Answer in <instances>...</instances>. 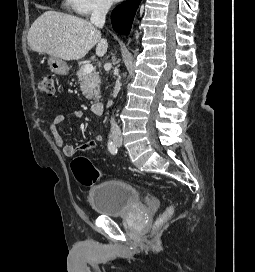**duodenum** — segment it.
Masks as SVG:
<instances>
[{
  "label": "duodenum",
  "instance_id": "1",
  "mask_svg": "<svg viewBox=\"0 0 255 272\" xmlns=\"http://www.w3.org/2000/svg\"><path fill=\"white\" fill-rule=\"evenodd\" d=\"M104 103L102 100H95L91 106V110L94 114H101L103 112Z\"/></svg>",
  "mask_w": 255,
  "mask_h": 272
}]
</instances>
